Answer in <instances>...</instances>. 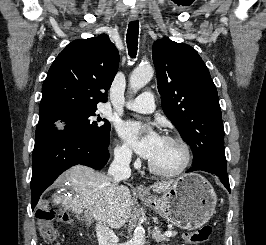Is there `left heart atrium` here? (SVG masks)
Masks as SVG:
<instances>
[{"label":"left heart atrium","mask_w":266,"mask_h":245,"mask_svg":"<svg viewBox=\"0 0 266 245\" xmlns=\"http://www.w3.org/2000/svg\"><path fill=\"white\" fill-rule=\"evenodd\" d=\"M119 136L142 158L151 161L157 153L163 137L151 126L137 122H120L117 125Z\"/></svg>","instance_id":"obj_1"}]
</instances>
